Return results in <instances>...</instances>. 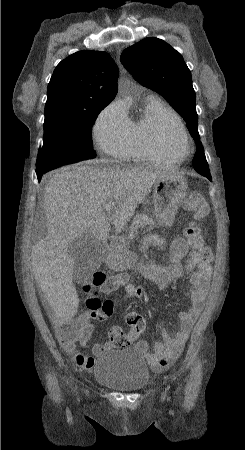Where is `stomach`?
<instances>
[{"label":"stomach","mask_w":245,"mask_h":450,"mask_svg":"<svg viewBox=\"0 0 245 450\" xmlns=\"http://www.w3.org/2000/svg\"><path fill=\"white\" fill-rule=\"evenodd\" d=\"M187 189L188 184L182 177H165L155 182L152 197L154 214L159 225H172L186 198ZM105 260L112 269L122 271L134 267L136 255L129 251L124 243L110 248Z\"/></svg>","instance_id":"1"}]
</instances>
